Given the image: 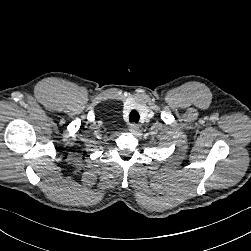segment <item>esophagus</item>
Here are the masks:
<instances>
[{
    "label": "esophagus",
    "instance_id": "1",
    "mask_svg": "<svg viewBox=\"0 0 251 251\" xmlns=\"http://www.w3.org/2000/svg\"><path fill=\"white\" fill-rule=\"evenodd\" d=\"M129 130L132 132V133H136L138 130H139V126L136 124V123H131L129 125Z\"/></svg>",
    "mask_w": 251,
    "mask_h": 251
}]
</instances>
